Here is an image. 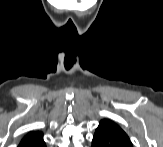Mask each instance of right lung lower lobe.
Instances as JSON below:
<instances>
[{"instance_id":"right-lung-lower-lobe-1","label":"right lung lower lobe","mask_w":163,"mask_h":147,"mask_svg":"<svg viewBox=\"0 0 163 147\" xmlns=\"http://www.w3.org/2000/svg\"><path fill=\"white\" fill-rule=\"evenodd\" d=\"M19 147H46L43 134L26 135L20 142Z\"/></svg>"}]
</instances>
